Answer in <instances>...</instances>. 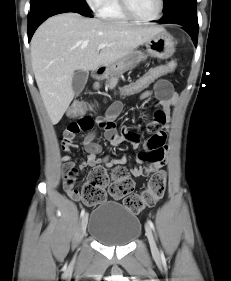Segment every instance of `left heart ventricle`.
Masks as SVG:
<instances>
[{"instance_id":"b2bd125f","label":"left heart ventricle","mask_w":231,"mask_h":281,"mask_svg":"<svg viewBox=\"0 0 231 281\" xmlns=\"http://www.w3.org/2000/svg\"><path fill=\"white\" fill-rule=\"evenodd\" d=\"M134 13L141 18L154 17L159 9V0H129Z\"/></svg>"}]
</instances>
